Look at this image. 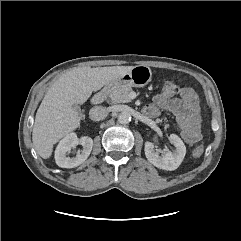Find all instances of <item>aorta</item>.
I'll use <instances>...</instances> for the list:
<instances>
[{"mask_svg": "<svg viewBox=\"0 0 241 241\" xmlns=\"http://www.w3.org/2000/svg\"><path fill=\"white\" fill-rule=\"evenodd\" d=\"M131 121V114L127 111H122L118 115V122L121 124H128Z\"/></svg>", "mask_w": 241, "mask_h": 241, "instance_id": "aorta-1", "label": "aorta"}]
</instances>
